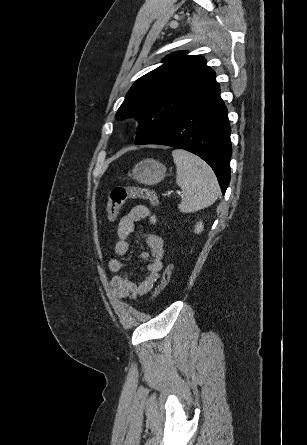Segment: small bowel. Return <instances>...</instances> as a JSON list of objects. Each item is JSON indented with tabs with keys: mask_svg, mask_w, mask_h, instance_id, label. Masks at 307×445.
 <instances>
[{
	"mask_svg": "<svg viewBox=\"0 0 307 445\" xmlns=\"http://www.w3.org/2000/svg\"><path fill=\"white\" fill-rule=\"evenodd\" d=\"M149 218L152 224L156 223V216L144 205L133 207L128 214L123 216L116 230V241L114 252L117 256H124L131 248L128 242L129 235L134 230V224L142 219ZM145 242L149 248V253H141L143 259L149 258L147 273L137 284L125 274L127 264L124 260L113 258L108 262V268L115 273L112 277L115 295L120 298L135 299L148 293L160 278V271L163 267L164 241L161 236L153 233L144 235Z\"/></svg>",
	"mask_w": 307,
	"mask_h": 445,
	"instance_id": "c3829d8e",
	"label": "small bowel"
}]
</instances>
